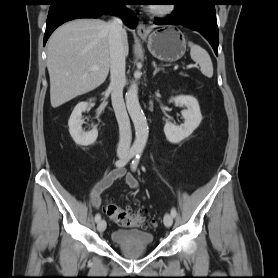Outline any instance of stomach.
<instances>
[{"label":"stomach","instance_id":"1","mask_svg":"<svg viewBox=\"0 0 278 278\" xmlns=\"http://www.w3.org/2000/svg\"><path fill=\"white\" fill-rule=\"evenodd\" d=\"M141 38L147 41L150 53L161 61L175 62L183 57L186 51L185 36L174 27L156 30L148 37L142 36Z\"/></svg>","mask_w":278,"mask_h":278}]
</instances>
